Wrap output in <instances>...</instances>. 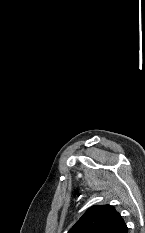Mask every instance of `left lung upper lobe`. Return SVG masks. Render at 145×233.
<instances>
[{
    "instance_id": "obj_1",
    "label": "left lung upper lobe",
    "mask_w": 145,
    "mask_h": 233,
    "mask_svg": "<svg viewBox=\"0 0 145 233\" xmlns=\"http://www.w3.org/2000/svg\"><path fill=\"white\" fill-rule=\"evenodd\" d=\"M68 233H128L122 216L110 205L90 207Z\"/></svg>"
}]
</instances>
